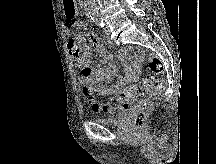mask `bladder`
I'll return each mask as SVG.
<instances>
[{
    "mask_svg": "<svg viewBox=\"0 0 216 164\" xmlns=\"http://www.w3.org/2000/svg\"><path fill=\"white\" fill-rule=\"evenodd\" d=\"M128 109H117L116 115L112 118H95V121L113 127L122 126L125 123Z\"/></svg>",
    "mask_w": 216,
    "mask_h": 164,
    "instance_id": "1",
    "label": "bladder"
}]
</instances>
